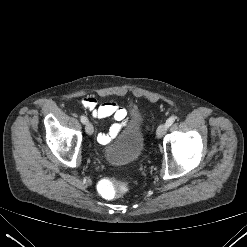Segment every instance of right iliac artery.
I'll list each match as a JSON object with an SVG mask.
<instances>
[{"label": "right iliac artery", "mask_w": 247, "mask_h": 247, "mask_svg": "<svg viewBox=\"0 0 247 247\" xmlns=\"http://www.w3.org/2000/svg\"><path fill=\"white\" fill-rule=\"evenodd\" d=\"M80 120L83 124H85L87 122V118L83 115L80 117Z\"/></svg>", "instance_id": "obj_1"}]
</instances>
